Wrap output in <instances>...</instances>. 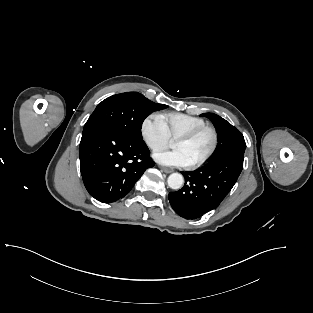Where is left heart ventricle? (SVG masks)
<instances>
[{
  "label": "left heart ventricle",
  "mask_w": 313,
  "mask_h": 313,
  "mask_svg": "<svg viewBox=\"0 0 313 313\" xmlns=\"http://www.w3.org/2000/svg\"><path fill=\"white\" fill-rule=\"evenodd\" d=\"M213 137L209 131H205L191 141H175L174 148L181 149L193 163L204 157L212 147Z\"/></svg>",
  "instance_id": "obj_1"
}]
</instances>
